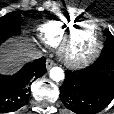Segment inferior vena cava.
<instances>
[{"instance_id": "inferior-vena-cava-1", "label": "inferior vena cava", "mask_w": 114, "mask_h": 114, "mask_svg": "<svg viewBox=\"0 0 114 114\" xmlns=\"http://www.w3.org/2000/svg\"><path fill=\"white\" fill-rule=\"evenodd\" d=\"M42 57V52L39 51V50H36V49H33V50H29L27 53H26V58L28 60H35V59H39Z\"/></svg>"}]
</instances>
